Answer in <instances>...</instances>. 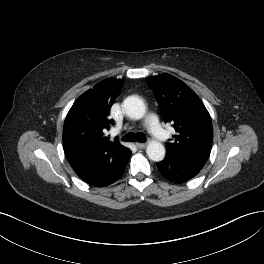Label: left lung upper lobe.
<instances>
[{"label":"left lung upper lobe","instance_id":"obj_1","mask_svg":"<svg viewBox=\"0 0 264 264\" xmlns=\"http://www.w3.org/2000/svg\"><path fill=\"white\" fill-rule=\"evenodd\" d=\"M165 122L176 131L166 145V157L181 163L203 165L213 141L211 117L196 93L180 79L161 74L147 78Z\"/></svg>","mask_w":264,"mask_h":264}]
</instances>
